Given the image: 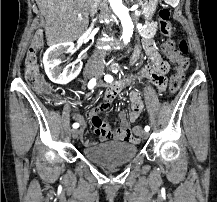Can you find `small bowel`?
Listing matches in <instances>:
<instances>
[{
	"label": "small bowel",
	"mask_w": 217,
	"mask_h": 202,
	"mask_svg": "<svg viewBox=\"0 0 217 202\" xmlns=\"http://www.w3.org/2000/svg\"><path fill=\"white\" fill-rule=\"evenodd\" d=\"M143 47L146 54L151 59H154V64L152 67H148L139 72L138 77L149 78L153 83H155L159 90H162L164 87V73L168 68L167 63L158 55L153 40L149 38L145 39ZM139 53L140 50L137 48L132 59L137 60ZM134 80L135 77L125 78L111 85L105 91L102 102L89 109L90 122L94 127L95 135L99 141H114L127 144H137L139 142L142 131H132L130 127V122L136 121L144 109L138 92L132 91L129 93L128 100L130 111L129 114L126 115L125 110H120L119 115L121 123L118 129L112 130L102 117L103 112L110 108L112 101L118 96L122 89ZM144 106H149V101H144ZM72 116L76 121H83L82 117L76 113H73ZM80 139L86 147H91L95 144V141L84 138L83 130L80 131Z\"/></svg>",
	"instance_id": "small-bowel-1"
}]
</instances>
